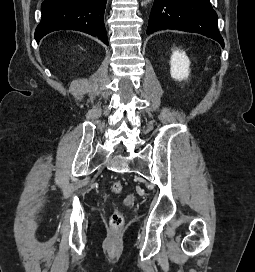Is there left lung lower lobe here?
I'll use <instances>...</instances> for the list:
<instances>
[{
  "mask_svg": "<svg viewBox=\"0 0 255 272\" xmlns=\"http://www.w3.org/2000/svg\"><path fill=\"white\" fill-rule=\"evenodd\" d=\"M217 20L210 0H155L147 34L165 29L194 32L212 38L224 47Z\"/></svg>",
  "mask_w": 255,
  "mask_h": 272,
  "instance_id": "obj_1",
  "label": "left lung lower lobe"
}]
</instances>
